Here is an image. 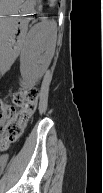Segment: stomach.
Here are the masks:
<instances>
[{
	"mask_svg": "<svg viewBox=\"0 0 103 193\" xmlns=\"http://www.w3.org/2000/svg\"><path fill=\"white\" fill-rule=\"evenodd\" d=\"M1 10L3 15L16 14L19 12L30 11L33 9L35 0H2ZM5 17V16H4Z\"/></svg>",
	"mask_w": 103,
	"mask_h": 193,
	"instance_id": "0dacf381",
	"label": "stomach"
}]
</instances>
